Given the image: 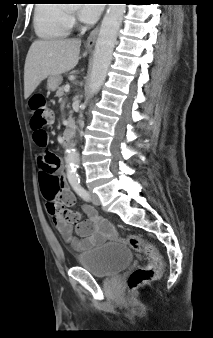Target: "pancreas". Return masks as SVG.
Listing matches in <instances>:
<instances>
[{
    "label": "pancreas",
    "mask_w": 213,
    "mask_h": 338,
    "mask_svg": "<svg viewBox=\"0 0 213 338\" xmlns=\"http://www.w3.org/2000/svg\"><path fill=\"white\" fill-rule=\"evenodd\" d=\"M64 87L62 86V87H59L58 88V90H57V92H56V96L57 97H59V98H61L63 95H64ZM72 112H70V114H71Z\"/></svg>",
    "instance_id": "1"
}]
</instances>
